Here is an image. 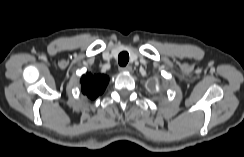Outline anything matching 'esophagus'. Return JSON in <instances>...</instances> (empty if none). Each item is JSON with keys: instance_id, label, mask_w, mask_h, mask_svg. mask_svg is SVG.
I'll return each mask as SVG.
<instances>
[{"instance_id": "34e87169", "label": "esophagus", "mask_w": 244, "mask_h": 157, "mask_svg": "<svg viewBox=\"0 0 244 157\" xmlns=\"http://www.w3.org/2000/svg\"><path fill=\"white\" fill-rule=\"evenodd\" d=\"M119 71L120 72H131L132 71V67L130 65H127L125 67H120Z\"/></svg>"}]
</instances>
